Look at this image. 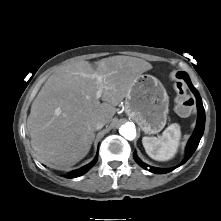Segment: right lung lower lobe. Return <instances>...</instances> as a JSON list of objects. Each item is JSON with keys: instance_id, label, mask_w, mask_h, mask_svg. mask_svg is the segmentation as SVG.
<instances>
[{"instance_id": "98d812e1", "label": "right lung lower lobe", "mask_w": 221, "mask_h": 221, "mask_svg": "<svg viewBox=\"0 0 221 221\" xmlns=\"http://www.w3.org/2000/svg\"><path fill=\"white\" fill-rule=\"evenodd\" d=\"M98 160V155L96 156V158L89 164H87L86 166L77 169L75 171H72L71 173H69V175L67 176V178H75V177H79L83 174H85L93 165L96 164Z\"/></svg>"}]
</instances>
